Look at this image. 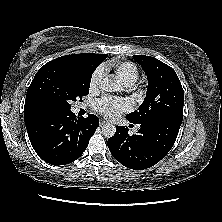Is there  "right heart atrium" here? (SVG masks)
Instances as JSON below:
<instances>
[{"label": "right heart atrium", "instance_id": "d8ad5b80", "mask_svg": "<svg viewBox=\"0 0 222 222\" xmlns=\"http://www.w3.org/2000/svg\"><path fill=\"white\" fill-rule=\"evenodd\" d=\"M103 77H104V70L103 68H98L93 74H92V77H91V80H90V89L91 90H96L102 80H103Z\"/></svg>", "mask_w": 222, "mask_h": 222}]
</instances>
